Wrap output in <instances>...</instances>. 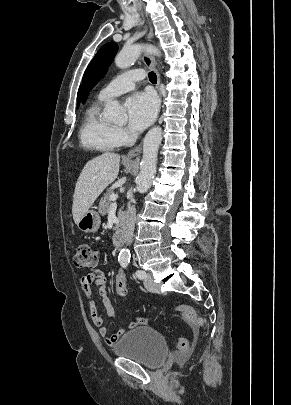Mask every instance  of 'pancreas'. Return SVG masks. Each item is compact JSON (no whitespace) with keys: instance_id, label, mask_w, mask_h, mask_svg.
Wrapping results in <instances>:
<instances>
[{"instance_id":"obj_1","label":"pancreas","mask_w":291,"mask_h":405,"mask_svg":"<svg viewBox=\"0 0 291 405\" xmlns=\"http://www.w3.org/2000/svg\"><path fill=\"white\" fill-rule=\"evenodd\" d=\"M114 194L113 190H107V192L104 194V196L101 198L100 203H99V213L104 216L108 212L109 206L111 204L110 196ZM123 217V211L122 209L119 210L118 212V218L119 220H122ZM120 224H117L114 227V230H118Z\"/></svg>"}]
</instances>
